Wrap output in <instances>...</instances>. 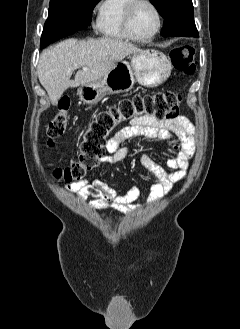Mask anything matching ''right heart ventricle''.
<instances>
[{"label":"right heart ventricle","mask_w":240,"mask_h":329,"mask_svg":"<svg viewBox=\"0 0 240 329\" xmlns=\"http://www.w3.org/2000/svg\"><path fill=\"white\" fill-rule=\"evenodd\" d=\"M130 2L131 0H102L98 6L95 27L103 37L113 41L131 40L123 28L124 13Z\"/></svg>","instance_id":"1"}]
</instances>
